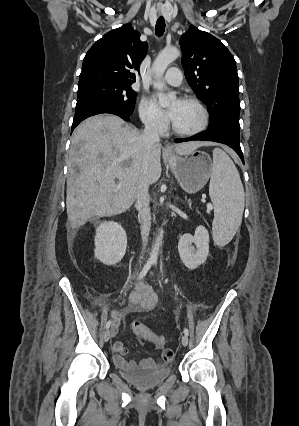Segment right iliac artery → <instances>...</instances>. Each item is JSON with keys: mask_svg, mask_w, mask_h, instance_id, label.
<instances>
[{"mask_svg": "<svg viewBox=\"0 0 299 426\" xmlns=\"http://www.w3.org/2000/svg\"><path fill=\"white\" fill-rule=\"evenodd\" d=\"M151 265H152V262L151 261H147V263L145 264L144 268L142 269V271L138 275V278H137L138 280L142 279L147 274V272L150 269ZM111 323H112L111 320H109L106 323V328L107 329L111 326Z\"/></svg>", "mask_w": 299, "mask_h": 426, "instance_id": "right-iliac-artery-1", "label": "right iliac artery"}]
</instances>
